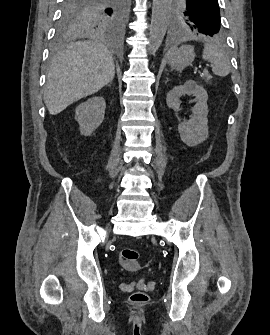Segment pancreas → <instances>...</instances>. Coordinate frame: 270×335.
Instances as JSON below:
<instances>
[{"label":"pancreas","mask_w":270,"mask_h":335,"mask_svg":"<svg viewBox=\"0 0 270 335\" xmlns=\"http://www.w3.org/2000/svg\"><path fill=\"white\" fill-rule=\"evenodd\" d=\"M204 76L206 78V82H208V80H211V78H212V76H210V74H208V72H205Z\"/></svg>","instance_id":"1"}]
</instances>
